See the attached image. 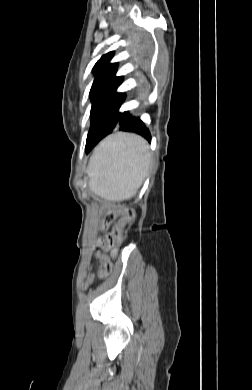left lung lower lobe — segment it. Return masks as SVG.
<instances>
[{
    "label": "left lung lower lobe",
    "instance_id": "obj_1",
    "mask_svg": "<svg viewBox=\"0 0 252 390\" xmlns=\"http://www.w3.org/2000/svg\"><path fill=\"white\" fill-rule=\"evenodd\" d=\"M114 129L138 133L151 142L150 132L139 117L133 116L128 111L119 112L114 118L111 114H105L91 121L85 147L86 153Z\"/></svg>",
    "mask_w": 252,
    "mask_h": 390
}]
</instances>
